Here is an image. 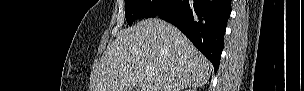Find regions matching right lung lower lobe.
<instances>
[{
	"instance_id": "obj_1",
	"label": "right lung lower lobe",
	"mask_w": 304,
	"mask_h": 91,
	"mask_svg": "<svg viewBox=\"0 0 304 91\" xmlns=\"http://www.w3.org/2000/svg\"><path fill=\"white\" fill-rule=\"evenodd\" d=\"M231 0H170L157 13L179 28L219 68Z\"/></svg>"
}]
</instances>
